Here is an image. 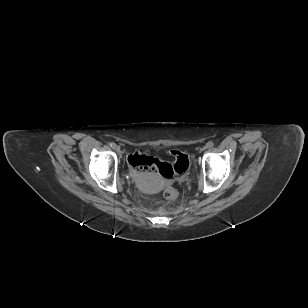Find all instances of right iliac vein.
<instances>
[{"label": "right iliac vein", "instance_id": "1", "mask_svg": "<svg viewBox=\"0 0 308 308\" xmlns=\"http://www.w3.org/2000/svg\"><path fill=\"white\" fill-rule=\"evenodd\" d=\"M115 151H117L119 154H120V148H119V146H115L114 148H113Z\"/></svg>", "mask_w": 308, "mask_h": 308}]
</instances>
